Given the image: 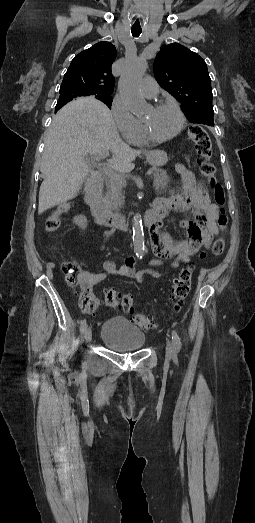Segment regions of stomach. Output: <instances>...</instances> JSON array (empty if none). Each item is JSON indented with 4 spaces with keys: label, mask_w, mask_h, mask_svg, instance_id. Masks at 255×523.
<instances>
[{
    "label": "stomach",
    "mask_w": 255,
    "mask_h": 523,
    "mask_svg": "<svg viewBox=\"0 0 255 523\" xmlns=\"http://www.w3.org/2000/svg\"><path fill=\"white\" fill-rule=\"evenodd\" d=\"M168 159V154L166 152H161V150H153V152H147L146 160L151 164V166H164Z\"/></svg>",
    "instance_id": "1"
}]
</instances>
